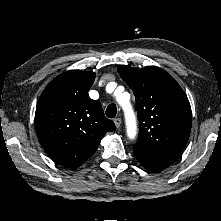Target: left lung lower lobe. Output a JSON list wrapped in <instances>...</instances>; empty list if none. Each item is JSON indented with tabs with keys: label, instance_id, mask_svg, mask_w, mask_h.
I'll use <instances>...</instances> for the list:
<instances>
[{
	"label": "left lung lower lobe",
	"instance_id": "0a47b994",
	"mask_svg": "<svg viewBox=\"0 0 221 221\" xmlns=\"http://www.w3.org/2000/svg\"><path fill=\"white\" fill-rule=\"evenodd\" d=\"M134 155L142 166L154 173L162 171L174 163L172 161L154 158L143 151L134 150Z\"/></svg>",
	"mask_w": 221,
	"mask_h": 221
}]
</instances>
